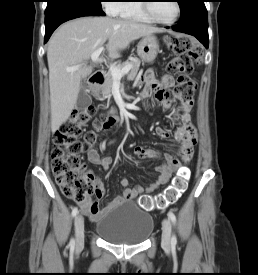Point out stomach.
I'll return each mask as SVG.
<instances>
[{
  "instance_id": "0dacf381",
  "label": "stomach",
  "mask_w": 258,
  "mask_h": 275,
  "mask_svg": "<svg viewBox=\"0 0 258 275\" xmlns=\"http://www.w3.org/2000/svg\"><path fill=\"white\" fill-rule=\"evenodd\" d=\"M159 52V43L154 35L144 36L137 45V53L140 59L146 63H152Z\"/></svg>"
}]
</instances>
